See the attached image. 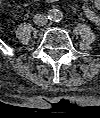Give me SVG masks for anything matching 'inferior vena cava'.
I'll return each mask as SVG.
<instances>
[{"mask_svg": "<svg viewBox=\"0 0 100 118\" xmlns=\"http://www.w3.org/2000/svg\"><path fill=\"white\" fill-rule=\"evenodd\" d=\"M33 22H34V24H36L38 26H44L47 24L48 18H47V16H45L43 14H36L33 17Z\"/></svg>", "mask_w": 100, "mask_h": 118, "instance_id": "1", "label": "inferior vena cava"}]
</instances>
